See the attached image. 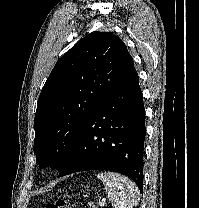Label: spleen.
<instances>
[{
    "instance_id": "3e777b00",
    "label": "spleen",
    "mask_w": 199,
    "mask_h": 208,
    "mask_svg": "<svg viewBox=\"0 0 199 208\" xmlns=\"http://www.w3.org/2000/svg\"><path fill=\"white\" fill-rule=\"evenodd\" d=\"M97 178L104 183L107 197L114 208H132L138 204L139 189L129 178L113 172L99 173Z\"/></svg>"
}]
</instances>
